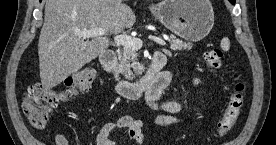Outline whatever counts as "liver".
Listing matches in <instances>:
<instances>
[{
	"label": "liver",
	"mask_w": 276,
	"mask_h": 145,
	"mask_svg": "<svg viewBox=\"0 0 276 145\" xmlns=\"http://www.w3.org/2000/svg\"><path fill=\"white\" fill-rule=\"evenodd\" d=\"M123 0H46L38 42L41 83L49 90L103 53L110 36L131 28L136 17ZM103 28L85 40L76 31Z\"/></svg>",
	"instance_id": "liver-1"
}]
</instances>
